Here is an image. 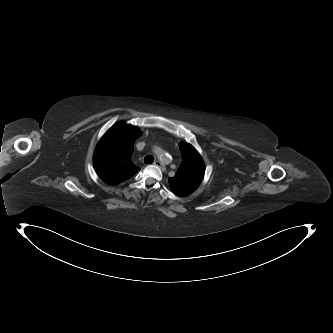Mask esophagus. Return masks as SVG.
<instances>
[{
	"mask_svg": "<svg viewBox=\"0 0 333 333\" xmlns=\"http://www.w3.org/2000/svg\"><path fill=\"white\" fill-rule=\"evenodd\" d=\"M153 164L156 165V166L161 167L162 169L164 168V165H163L162 162L159 161V160H156Z\"/></svg>",
	"mask_w": 333,
	"mask_h": 333,
	"instance_id": "34e87169",
	"label": "esophagus"
}]
</instances>
